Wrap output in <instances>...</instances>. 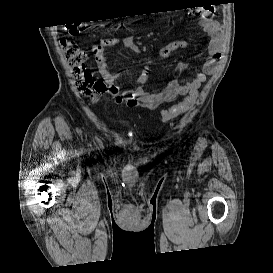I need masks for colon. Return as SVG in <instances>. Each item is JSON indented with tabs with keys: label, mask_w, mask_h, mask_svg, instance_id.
Returning a JSON list of instances; mask_svg holds the SVG:
<instances>
[{
	"label": "colon",
	"mask_w": 273,
	"mask_h": 273,
	"mask_svg": "<svg viewBox=\"0 0 273 273\" xmlns=\"http://www.w3.org/2000/svg\"><path fill=\"white\" fill-rule=\"evenodd\" d=\"M82 28L71 25L67 34L60 39V48L64 60L70 69L71 76L75 80V87L78 94L84 98L95 101L106 90L104 82L96 78L92 70L87 66L88 55L80 48L71 36L77 35ZM195 94L191 93L184 100L163 110L161 119L169 122L180 114L186 112L192 105Z\"/></svg>",
	"instance_id": "colon-1"
}]
</instances>
